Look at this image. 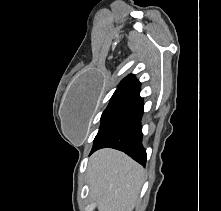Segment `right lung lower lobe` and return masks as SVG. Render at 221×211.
<instances>
[{
	"mask_svg": "<svg viewBox=\"0 0 221 211\" xmlns=\"http://www.w3.org/2000/svg\"><path fill=\"white\" fill-rule=\"evenodd\" d=\"M142 115L143 99L138 93L113 123L94 140L90 154L98 149L110 147L124 151L145 166L147 156L146 150L142 146Z\"/></svg>",
	"mask_w": 221,
	"mask_h": 211,
	"instance_id": "obj_1",
	"label": "right lung lower lobe"
}]
</instances>
